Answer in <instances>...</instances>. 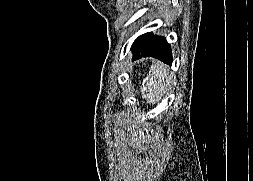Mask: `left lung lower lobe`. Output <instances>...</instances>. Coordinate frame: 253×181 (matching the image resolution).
Returning a JSON list of instances; mask_svg holds the SVG:
<instances>
[{"instance_id":"left-lung-lower-lobe-1","label":"left lung lower lobe","mask_w":253,"mask_h":181,"mask_svg":"<svg viewBox=\"0 0 253 181\" xmlns=\"http://www.w3.org/2000/svg\"><path fill=\"white\" fill-rule=\"evenodd\" d=\"M133 60L141 57H154L166 64H172V54L166 39L146 33L139 36L133 43Z\"/></svg>"}]
</instances>
